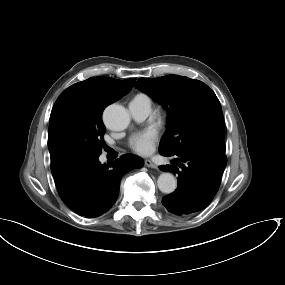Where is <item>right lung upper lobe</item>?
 <instances>
[{
    "label": "right lung upper lobe",
    "instance_id": "cb5924a9",
    "mask_svg": "<svg viewBox=\"0 0 285 285\" xmlns=\"http://www.w3.org/2000/svg\"><path fill=\"white\" fill-rule=\"evenodd\" d=\"M135 78L117 80L108 77H92L73 84L64 93L79 94L95 98L107 106L125 96L135 83Z\"/></svg>",
    "mask_w": 285,
    "mask_h": 285
}]
</instances>
